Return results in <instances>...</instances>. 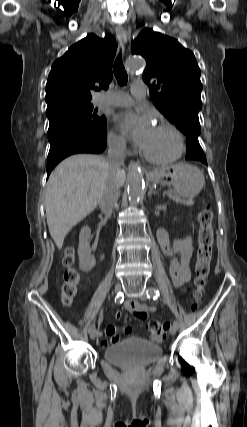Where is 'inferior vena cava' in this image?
I'll return each instance as SVG.
<instances>
[{"label":"inferior vena cava","mask_w":247,"mask_h":427,"mask_svg":"<svg viewBox=\"0 0 247 427\" xmlns=\"http://www.w3.org/2000/svg\"><path fill=\"white\" fill-rule=\"evenodd\" d=\"M107 164L110 173L113 174L124 165L125 142L123 140H109ZM120 196V186L116 180L110 176L99 200V207L107 216H111L113 208Z\"/></svg>","instance_id":"obj_1"}]
</instances>
